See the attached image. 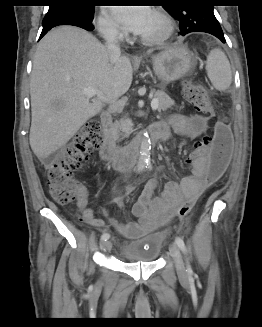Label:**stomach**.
<instances>
[{"label":"stomach","instance_id":"obj_1","mask_svg":"<svg viewBox=\"0 0 262 327\" xmlns=\"http://www.w3.org/2000/svg\"><path fill=\"white\" fill-rule=\"evenodd\" d=\"M152 63L158 79L167 85L188 74L194 67V58L185 46H173L153 56Z\"/></svg>","mask_w":262,"mask_h":327}]
</instances>
